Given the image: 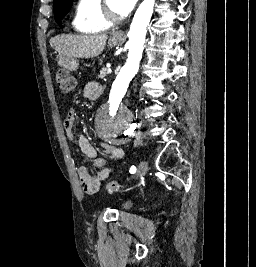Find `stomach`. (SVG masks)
I'll return each instance as SVG.
<instances>
[{
    "label": "stomach",
    "instance_id": "1",
    "mask_svg": "<svg viewBox=\"0 0 256 267\" xmlns=\"http://www.w3.org/2000/svg\"><path fill=\"white\" fill-rule=\"evenodd\" d=\"M124 38L122 32L119 34V38L117 36H113V38H110L108 44L111 46V48H114V46H117L119 40H122ZM57 67H76V62H57Z\"/></svg>",
    "mask_w": 256,
    "mask_h": 267
}]
</instances>
